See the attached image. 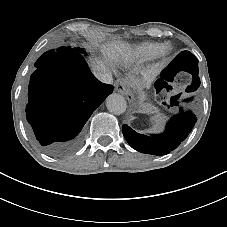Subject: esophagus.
Here are the masks:
<instances>
[{
	"label": "esophagus",
	"mask_w": 227,
	"mask_h": 227,
	"mask_svg": "<svg viewBox=\"0 0 227 227\" xmlns=\"http://www.w3.org/2000/svg\"><path fill=\"white\" fill-rule=\"evenodd\" d=\"M115 84H116V89L120 94L126 96L130 103L135 102L136 100L135 96L125 80H123L122 78H119L116 80Z\"/></svg>",
	"instance_id": "esophagus-1"
}]
</instances>
